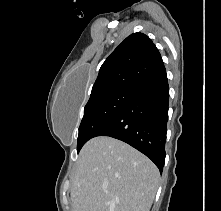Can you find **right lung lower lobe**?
<instances>
[{
  "mask_svg": "<svg viewBox=\"0 0 221 211\" xmlns=\"http://www.w3.org/2000/svg\"><path fill=\"white\" fill-rule=\"evenodd\" d=\"M169 86L167 76L133 89L122 108L95 134L124 141L149 157L160 172L165 161Z\"/></svg>",
  "mask_w": 221,
  "mask_h": 211,
  "instance_id": "1",
  "label": "right lung lower lobe"
}]
</instances>
